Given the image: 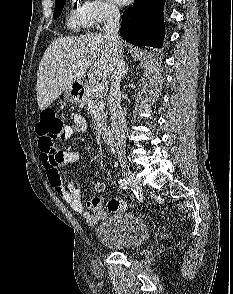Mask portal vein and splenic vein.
I'll list each match as a JSON object with an SVG mask.
<instances>
[{
  "label": "portal vein and splenic vein",
  "mask_w": 233,
  "mask_h": 294,
  "mask_svg": "<svg viewBox=\"0 0 233 294\" xmlns=\"http://www.w3.org/2000/svg\"><path fill=\"white\" fill-rule=\"evenodd\" d=\"M105 90V85L103 83H96L93 87V91L96 95L102 94Z\"/></svg>",
  "instance_id": "18ae733b"
}]
</instances>
